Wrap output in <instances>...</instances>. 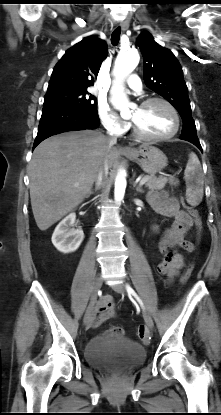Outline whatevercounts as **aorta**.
<instances>
[{
  "label": "aorta",
  "instance_id": "1",
  "mask_svg": "<svg viewBox=\"0 0 221 415\" xmlns=\"http://www.w3.org/2000/svg\"><path fill=\"white\" fill-rule=\"evenodd\" d=\"M139 60L140 56L137 50L121 52L117 56L114 67V75L117 81L111 91V101L115 108L120 111L126 110L129 107V101L124 92L123 80L137 67ZM126 184L125 172H118L114 190L116 202L123 200Z\"/></svg>",
  "mask_w": 221,
  "mask_h": 415
}]
</instances>
